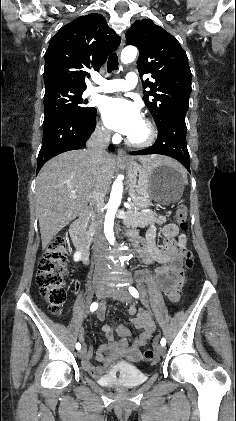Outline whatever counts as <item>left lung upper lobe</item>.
I'll use <instances>...</instances> for the list:
<instances>
[{
	"instance_id": "1",
	"label": "left lung upper lobe",
	"mask_w": 236,
	"mask_h": 421,
	"mask_svg": "<svg viewBox=\"0 0 236 421\" xmlns=\"http://www.w3.org/2000/svg\"><path fill=\"white\" fill-rule=\"evenodd\" d=\"M128 44L139 49V76L150 73L153 82L143 81L144 102L156 125L176 110L187 112L191 94L188 58L175 37L152 20L135 21L126 32Z\"/></svg>"
}]
</instances>
